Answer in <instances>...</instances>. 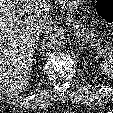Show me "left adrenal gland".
<instances>
[{"label": "left adrenal gland", "mask_w": 113, "mask_h": 113, "mask_svg": "<svg viewBox=\"0 0 113 113\" xmlns=\"http://www.w3.org/2000/svg\"><path fill=\"white\" fill-rule=\"evenodd\" d=\"M77 43H78V46H79L80 51L82 52V50H83V44H81L79 40H77Z\"/></svg>", "instance_id": "obj_1"}]
</instances>
